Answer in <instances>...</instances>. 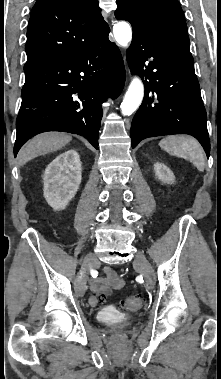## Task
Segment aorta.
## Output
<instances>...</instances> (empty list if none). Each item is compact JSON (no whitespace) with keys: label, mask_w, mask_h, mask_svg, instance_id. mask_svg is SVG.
<instances>
[{"label":"aorta","mask_w":221,"mask_h":379,"mask_svg":"<svg viewBox=\"0 0 221 379\" xmlns=\"http://www.w3.org/2000/svg\"><path fill=\"white\" fill-rule=\"evenodd\" d=\"M115 40L122 47H128L132 39V30L125 21H120L113 27ZM144 95V86L139 77H134L128 87L121 104V113L131 115L141 104Z\"/></svg>","instance_id":"obj_1"}]
</instances>
